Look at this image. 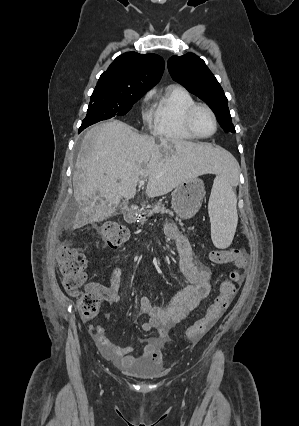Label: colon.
<instances>
[{
	"label": "colon",
	"instance_id": "obj_1",
	"mask_svg": "<svg viewBox=\"0 0 299 426\" xmlns=\"http://www.w3.org/2000/svg\"><path fill=\"white\" fill-rule=\"evenodd\" d=\"M102 245L117 248L128 236L127 229L117 223L108 222L99 228ZM210 260L218 265L234 263L236 269L219 284L218 293L205 315L186 329L184 338L195 341L206 334L230 306L244 276L246 253L242 249H214L209 253ZM57 262L65 290L78 297V309L86 319L95 317L100 309L102 296L91 286L82 292L86 280L87 259L81 249L62 245L57 251Z\"/></svg>",
	"mask_w": 299,
	"mask_h": 426
}]
</instances>
